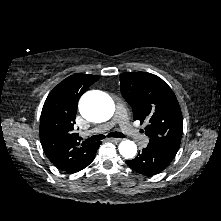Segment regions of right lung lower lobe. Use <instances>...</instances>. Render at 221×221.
<instances>
[{
	"mask_svg": "<svg viewBox=\"0 0 221 221\" xmlns=\"http://www.w3.org/2000/svg\"><path fill=\"white\" fill-rule=\"evenodd\" d=\"M100 144H101V142H97V143H96V148H95V150H94L92 156L88 159V161H87L85 167L88 166V165L93 161V159H94V157H95V154H96V151H97V149L99 148ZM85 167H84V168H85ZM84 168H83V169H84Z\"/></svg>",
	"mask_w": 221,
	"mask_h": 221,
	"instance_id": "right-lung-lower-lobe-1",
	"label": "right lung lower lobe"
}]
</instances>
